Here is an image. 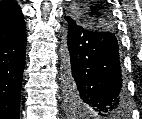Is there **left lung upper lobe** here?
Returning <instances> with one entry per match:
<instances>
[{
	"label": "left lung upper lobe",
	"mask_w": 142,
	"mask_h": 119,
	"mask_svg": "<svg viewBox=\"0 0 142 119\" xmlns=\"http://www.w3.org/2000/svg\"><path fill=\"white\" fill-rule=\"evenodd\" d=\"M70 17L90 30H111V20L104 8L92 1H84L76 6Z\"/></svg>",
	"instance_id": "left-lung-upper-lobe-1"
}]
</instances>
